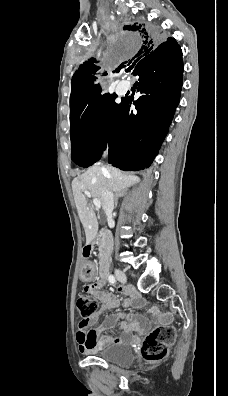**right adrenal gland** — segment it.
<instances>
[{"mask_svg":"<svg viewBox=\"0 0 228 396\" xmlns=\"http://www.w3.org/2000/svg\"><path fill=\"white\" fill-rule=\"evenodd\" d=\"M126 195V191H119L115 193V208L117 207V202L119 197H124Z\"/></svg>","mask_w":228,"mask_h":396,"instance_id":"right-adrenal-gland-1","label":"right adrenal gland"}]
</instances>
